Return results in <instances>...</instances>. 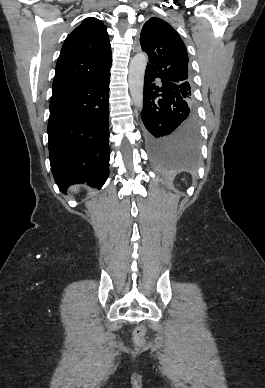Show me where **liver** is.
Wrapping results in <instances>:
<instances>
[{"label":"liver","mask_w":265,"mask_h":388,"mask_svg":"<svg viewBox=\"0 0 265 388\" xmlns=\"http://www.w3.org/2000/svg\"><path fill=\"white\" fill-rule=\"evenodd\" d=\"M71 190H73V192H76V190H78V186H72Z\"/></svg>","instance_id":"1"}]
</instances>
